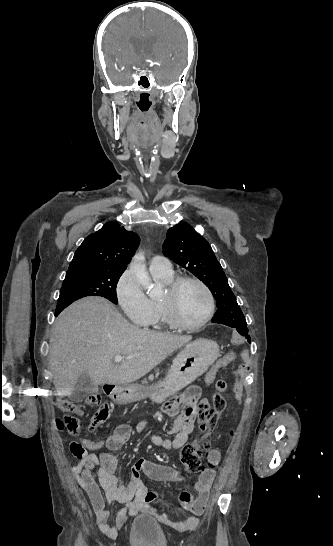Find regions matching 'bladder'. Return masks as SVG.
Returning a JSON list of instances; mask_svg holds the SVG:
<instances>
[{
  "mask_svg": "<svg viewBox=\"0 0 333 546\" xmlns=\"http://www.w3.org/2000/svg\"><path fill=\"white\" fill-rule=\"evenodd\" d=\"M132 546H167L166 535L157 521L150 515L137 517L129 531Z\"/></svg>",
  "mask_w": 333,
  "mask_h": 546,
  "instance_id": "31cf9c89",
  "label": "bladder"
}]
</instances>
